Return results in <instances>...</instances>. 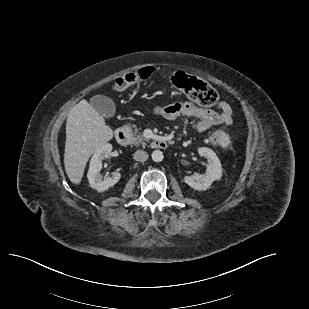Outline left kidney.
I'll return each instance as SVG.
<instances>
[{"label": "left kidney", "mask_w": 309, "mask_h": 309, "mask_svg": "<svg viewBox=\"0 0 309 309\" xmlns=\"http://www.w3.org/2000/svg\"><path fill=\"white\" fill-rule=\"evenodd\" d=\"M198 153L201 157L207 158L206 172L203 175L185 176L184 182L194 190L203 191L207 190L214 181L222 177V167L218 156L210 148L200 147Z\"/></svg>", "instance_id": "1"}]
</instances>
